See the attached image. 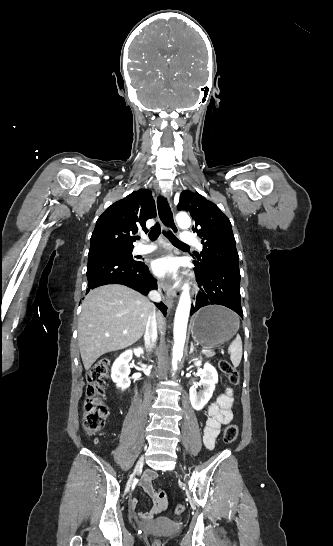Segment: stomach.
Instances as JSON below:
<instances>
[{"instance_id":"obj_1","label":"stomach","mask_w":333,"mask_h":546,"mask_svg":"<svg viewBox=\"0 0 333 546\" xmlns=\"http://www.w3.org/2000/svg\"><path fill=\"white\" fill-rule=\"evenodd\" d=\"M237 330L236 315L219 305L200 309L192 319V337L205 348L219 347L230 340Z\"/></svg>"}]
</instances>
